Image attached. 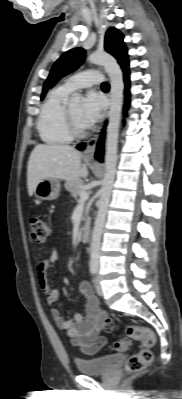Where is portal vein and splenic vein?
Returning <instances> with one entry per match:
<instances>
[{
  "label": "portal vein and splenic vein",
  "mask_w": 182,
  "mask_h": 399,
  "mask_svg": "<svg viewBox=\"0 0 182 399\" xmlns=\"http://www.w3.org/2000/svg\"><path fill=\"white\" fill-rule=\"evenodd\" d=\"M89 198V192L88 191H82L80 193V200L79 202H85Z\"/></svg>",
  "instance_id": "obj_1"
}]
</instances>
